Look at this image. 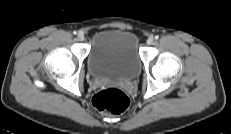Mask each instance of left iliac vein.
I'll return each instance as SVG.
<instances>
[{"label": "left iliac vein", "mask_w": 231, "mask_h": 134, "mask_svg": "<svg viewBox=\"0 0 231 134\" xmlns=\"http://www.w3.org/2000/svg\"><path fill=\"white\" fill-rule=\"evenodd\" d=\"M153 42H154V38L153 37H149L147 39V44L151 45V44H153Z\"/></svg>", "instance_id": "4c4485c4"}]
</instances>
